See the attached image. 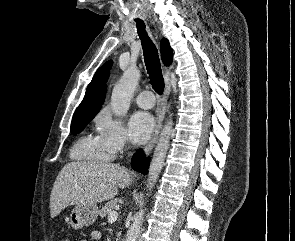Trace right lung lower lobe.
<instances>
[{
    "label": "right lung lower lobe",
    "mask_w": 295,
    "mask_h": 241,
    "mask_svg": "<svg viewBox=\"0 0 295 241\" xmlns=\"http://www.w3.org/2000/svg\"><path fill=\"white\" fill-rule=\"evenodd\" d=\"M131 167L133 170L142 174L148 173L149 159L145 157L142 150L136 152L131 160Z\"/></svg>",
    "instance_id": "98d812e1"
}]
</instances>
